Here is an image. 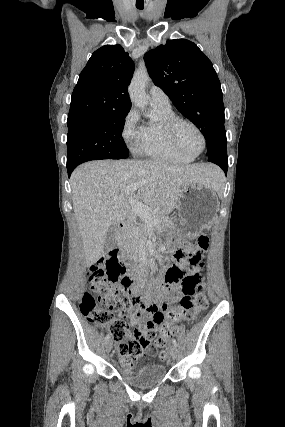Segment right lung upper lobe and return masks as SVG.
I'll return each mask as SVG.
<instances>
[{"label":"right lung upper lobe","mask_w":285,"mask_h":427,"mask_svg":"<svg viewBox=\"0 0 285 427\" xmlns=\"http://www.w3.org/2000/svg\"><path fill=\"white\" fill-rule=\"evenodd\" d=\"M134 63L121 45L95 51L72 93L68 120L113 112H129L128 84Z\"/></svg>","instance_id":"right-lung-upper-lobe-1"}]
</instances>
